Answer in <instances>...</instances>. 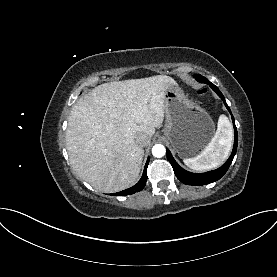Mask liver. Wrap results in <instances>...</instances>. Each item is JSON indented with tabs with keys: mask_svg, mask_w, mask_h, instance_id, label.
Masks as SVG:
<instances>
[{
	"mask_svg": "<svg viewBox=\"0 0 277 277\" xmlns=\"http://www.w3.org/2000/svg\"><path fill=\"white\" fill-rule=\"evenodd\" d=\"M173 85V78L157 75L104 83L79 98L66 131L76 174L105 193L134 185L144 156L135 136L144 133L150 142L164 120L165 93Z\"/></svg>",
	"mask_w": 277,
	"mask_h": 277,
	"instance_id": "obj_1",
	"label": "liver"
}]
</instances>
